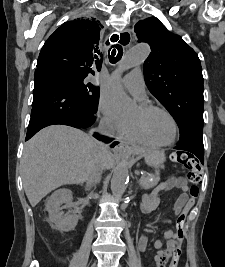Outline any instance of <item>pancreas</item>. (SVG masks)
<instances>
[{"label": "pancreas", "instance_id": "pancreas-1", "mask_svg": "<svg viewBox=\"0 0 225 267\" xmlns=\"http://www.w3.org/2000/svg\"><path fill=\"white\" fill-rule=\"evenodd\" d=\"M160 180L159 169L155 170V173H147L143 176V180L140 182L142 189L148 190L155 187Z\"/></svg>", "mask_w": 225, "mask_h": 267}]
</instances>
